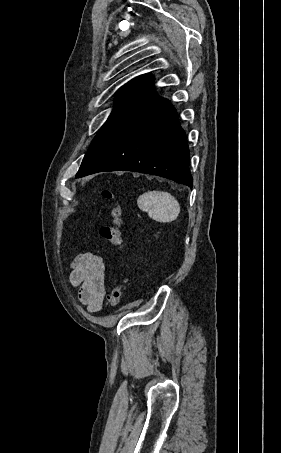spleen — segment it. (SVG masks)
Masks as SVG:
<instances>
[{
	"label": "spleen",
	"instance_id": "3e777b00",
	"mask_svg": "<svg viewBox=\"0 0 281 453\" xmlns=\"http://www.w3.org/2000/svg\"><path fill=\"white\" fill-rule=\"evenodd\" d=\"M137 204L141 210L148 212L150 218L158 222H172L180 212L178 200L170 192L150 190L140 194Z\"/></svg>",
	"mask_w": 281,
	"mask_h": 453
}]
</instances>
